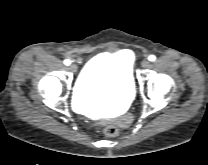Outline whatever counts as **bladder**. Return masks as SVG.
Segmentation results:
<instances>
[{
  "label": "bladder",
  "instance_id": "obj_1",
  "mask_svg": "<svg viewBox=\"0 0 208 165\" xmlns=\"http://www.w3.org/2000/svg\"><path fill=\"white\" fill-rule=\"evenodd\" d=\"M133 94L130 68L119 53L92 58L81 71L74 89L75 102L80 106L118 107L128 103Z\"/></svg>",
  "mask_w": 208,
  "mask_h": 165
}]
</instances>
